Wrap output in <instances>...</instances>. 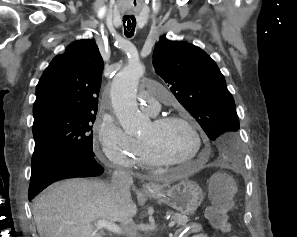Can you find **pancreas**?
Segmentation results:
<instances>
[{
  "label": "pancreas",
  "mask_w": 297,
  "mask_h": 237,
  "mask_svg": "<svg viewBox=\"0 0 297 237\" xmlns=\"http://www.w3.org/2000/svg\"><path fill=\"white\" fill-rule=\"evenodd\" d=\"M171 219L177 223V226H184L188 223L189 218L185 214L170 212Z\"/></svg>",
  "instance_id": "pancreas-1"
}]
</instances>
